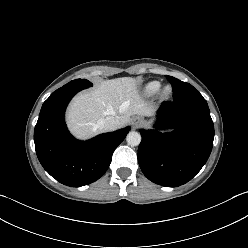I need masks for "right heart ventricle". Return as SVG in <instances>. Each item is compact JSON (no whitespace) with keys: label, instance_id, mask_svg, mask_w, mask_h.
Returning <instances> with one entry per match:
<instances>
[{"label":"right heart ventricle","instance_id":"obj_1","mask_svg":"<svg viewBox=\"0 0 248 248\" xmlns=\"http://www.w3.org/2000/svg\"><path fill=\"white\" fill-rule=\"evenodd\" d=\"M160 88V83L157 81H151L146 83L142 88V94L145 97H151L157 93Z\"/></svg>","mask_w":248,"mask_h":248}]
</instances>
